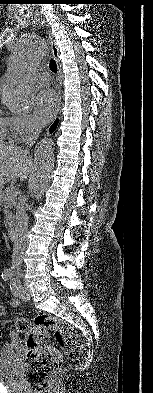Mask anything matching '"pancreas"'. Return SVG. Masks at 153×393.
I'll return each mask as SVG.
<instances>
[{
  "label": "pancreas",
  "mask_w": 153,
  "mask_h": 393,
  "mask_svg": "<svg viewBox=\"0 0 153 393\" xmlns=\"http://www.w3.org/2000/svg\"><path fill=\"white\" fill-rule=\"evenodd\" d=\"M13 185L6 187L2 195L0 196V205L4 207L3 211L5 214V227L10 228L14 222L13 208L17 205V193H11L10 189Z\"/></svg>",
  "instance_id": "1"
}]
</instances>
